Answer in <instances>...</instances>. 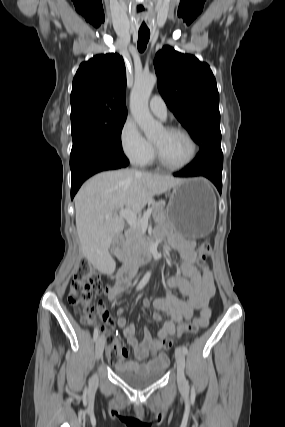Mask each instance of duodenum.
Masks as SVG:
<instances>
[{"instance_id": "duodenum-1", "label": "duodenum", "mask_w": 285, "mask_h": 427, "mask_svg": "<svg viewBox=\"0 0 285 427\" xmlns=\"http://www.w3.org/2000/svg\"><path fill=\"white\" fill-rule=\"evenodd\" d=\"M159 240L158 235H153L151 238L147 239L131 254L120 267L117 272V278L128 282L134 275L136 267L150 259L155 254L156 244Z\"/></svg>"}]
</instances>
